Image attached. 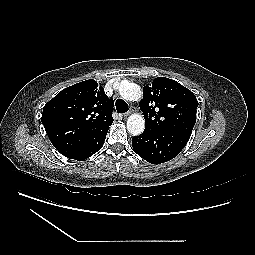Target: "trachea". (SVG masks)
Returning <instances> with one entry per match:
<instances>
[{
  "label": "trachea",
  "mask_w": 255,
  "mask_h": 255,
  "mask_svg": "<svg viewBox=\"0 0 255 255\" xmlns=\"http://www.w3.org/2000/svg\"><path fill=\"white\" fill-rule=\"evenodd\" d=\"M128 109H129L128 104L124 100L122 99L116 100V110L118 113H126Z\"/></svg>",
  "instance_id": "trachea-1"
}]
</instances>
